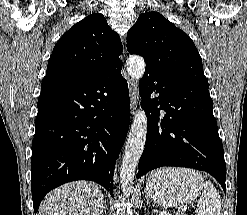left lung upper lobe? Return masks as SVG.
<instances>
[{
	"label": "left lung upper lobe",
	"instance_id": "obj_1",
	"mask_svg": "<svg viewBox=\"0 0 247 215\" xmlns=\"http://www.w3.org/2000/svg\"><path fill=\"white\" fill-rule=\"evenodd\" d=\"M127 50L143 56L146 69L208 88L202 59L190 37L157 12L141 14L127 33Z\"/></svg>",
	"mask_w": 247,
	"mask_h": 215
}]
</instances>
